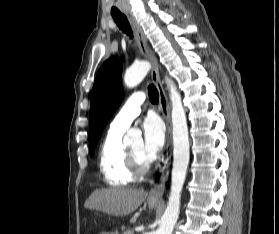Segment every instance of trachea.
Segmentation results:
<instances>
[{
	"label": "trachea",
	"instance_id": "1",
	"mask_svg": "<svg viewBox=\"0 0 279 234\" xmlns=\"http://www.w3.org/2000/svg\"><path fill=\"white\" fill-rule=\"evenodd\" d=\"M112 17H113L114 21L116 22V24L119 26V28L123 32H125L129 36H132L131 27H130V25L128 23V20H127V18L124 14H122L121 12H113ZM148 95H149L150 101L153 104L158 103L159 93H158V90L156 89V87L152 84L148 86Z\"/></svg>",
	"mask_w": 279,
	"mask_h": 234
}]
</instances>
